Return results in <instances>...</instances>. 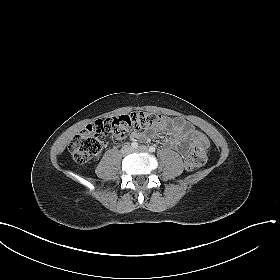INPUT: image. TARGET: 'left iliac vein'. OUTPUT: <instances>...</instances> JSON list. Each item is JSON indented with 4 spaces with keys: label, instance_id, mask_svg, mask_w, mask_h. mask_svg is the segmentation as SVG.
I'll list each match as a JSON object with an SVG mask.
<instances>
[{
    "label": "left iliac vein",
    "instance_id": "obj_1",
    "mask_svg": "<svg viewBox=\"0 0 280 280\" xmlns=\"http://www.w3.org/2000/svg\"><path fill=\"white\" fill-rule=\"evenodd\" d=\"M134 151L147 152L148 149L146 146H140L137 150H134Z\"/></svg>",
    "mask_w": 280,
    "mask_h": 280
}]
</instances>
